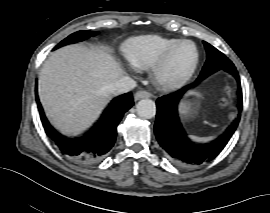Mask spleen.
Listing matches in <instances>:
<instances>
[{
  "label": "spleen",
  "instance_id": "1",
  "mask_svg": "<svg viewBox=\"0 0 270 213\" xmlns=\"http://www.w3.org/2000/svg\"><path fill=\"white\" fill-rule=\"evenodd\" d=\"M191 138L198 142H207L212 139V137H196V136H191Z\"/></svg>",
  "mask_w": 270,
  "mask_h": 213
}]
</instances>
